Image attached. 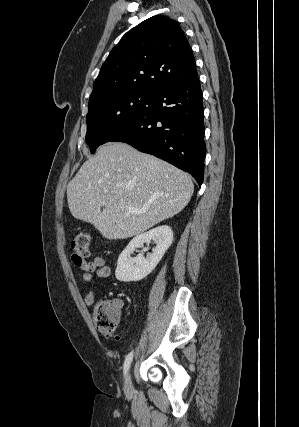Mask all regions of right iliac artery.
<instances>
[{
    "instance_id": "82829eb1",
    "label": "right iliac artery",
    "mask_w": 299,
    "mask_h": 427,
    "mask_svg": "<svg viewBox=\"0 0 299 427\" xmlns=\"http://www.w3.org/2000/svg\"><path fill=\"white\" fill-rule=\"evenodd\" d=\"M132 358H133V352L129 353L127 355L126 359H125V362H124V371H123L124 375L127 374L128 370L130 368V364L132 362Z\"/></svg>"
}]
</instances>
